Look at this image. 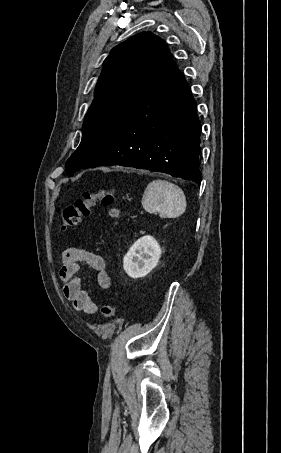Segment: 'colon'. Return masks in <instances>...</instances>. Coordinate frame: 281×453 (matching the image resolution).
Returning a JSON list of instances; mask_svg holds the SVG:
<instances>
[{
    "instance_id": "5ec220e1",
    "label": "colon",
    "mask_w": 281,
    "mask_h": 453,
    "mask_svg": "<svg viewBox=\"0 0 281 453\" xmlns=\"http://www.w3.org/2000/svg\"><path fill=\"white\" fill-rule=\"evenodd\" d=\"M98 204H103L112 209V226L121 228L124 222L120 217L122 200L118 194L117 186L103 188L94 193H86L67 205L63 212L61 226L63 229H72L83 225L90 216V211ZM117 310L115 302L104 303L101 315L104 320L112 319Z\"/></svg>"
}]
</instances>
